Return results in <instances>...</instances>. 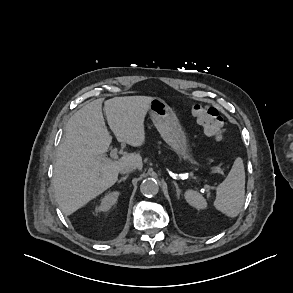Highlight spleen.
Wrapping results in <instances>:
<instances>
[{
    "instance_id": "3e777b00",
    "label": "spleen",
    "mask_w": 293,
    "mask_h": 293,
    "mask_svg": "<svg viewBox=\"0 0 293 293\" xmlns=\"http://www.w3.org/2000/svg\"><path fill=\"white\" fill-rule=\"evenodd\" d=\"M187 203L196 209H205L207 202L197 191L187 190L184 194ZM245 200V169L243 160L238 157L225 178L216 188L214 207L228 217H236Z\"/></svg>"
}]
</instances>
